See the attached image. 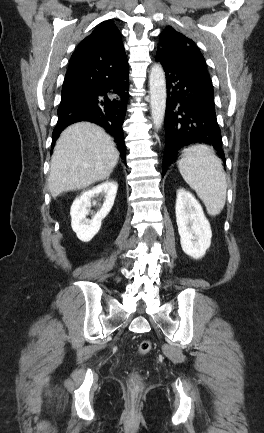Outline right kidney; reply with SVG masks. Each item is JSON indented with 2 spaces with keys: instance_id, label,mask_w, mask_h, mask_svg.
Returning a JSON list of instances; mask_svg holds the SVG:
<instances>
[{
  "instance_id": "1",
  "label": "right kidney",
  "mask_w": 264,
  "mask_h": 433,
  "mask_svg": "<svg viewBox=\"0 0 264 433\" xmlns=\"http://www.w3.org/2000/svg\"><path fill=\"white\" fill-rule=\"evenodd\" d=\"M117 189L116 182L106 181L91 190L84 191L74 200L70 210L71 226L78 239L89 242L99 232L102 220L114 204ZM99 195L104 196L105 201L101 209L89 220L86 218L89 214L88 207L91 205V200Z\"/></svg>"
}]
</instances>
